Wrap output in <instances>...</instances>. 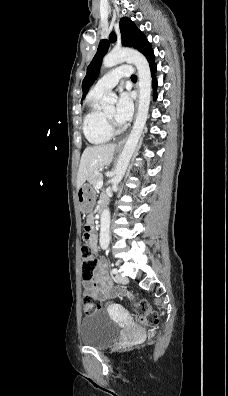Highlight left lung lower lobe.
Segmentation results:
<instances>
[{"label":"left lung lower lobe","instance_id":"1","mask_svg":"<svg viewBox=\"0 0 228 396\" xmlns=\"http://www.w3.org/2000/svg\"><path fill=\"white\" fill-rule=\"evenodd\" d=\"M145 57L147 58L149 64H150V68H151V73L153 76V97L154 100H156L157 98V93H156V87H157V79L154 76V73L157 70L156 64L154 62V53L153 50L151 48V45L148 46V48L146 49V51L144 52Z\"/></svg>","mask_w":228,"mask_h":396}]
</instances>
